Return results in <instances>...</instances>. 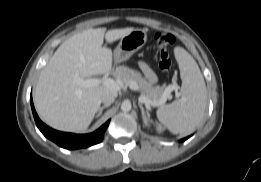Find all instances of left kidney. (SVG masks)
<instances>
[{
  "label": "left kidney",
  "mask_w": 261,
  "mask_h": 182,
  "mask_svg": "<svg viewBox=\"0 0 261 182\" xmlns=\"http://www.w3.org/2000/svg\"><path fill=\"white\" fill-rule=\"evenodd\" d=\"M162 130H163V129H162V127H161V126H157V132H158V133H161V132H162Z\"/></svg>",
  "instance_id": "1"
}]
</instances>
